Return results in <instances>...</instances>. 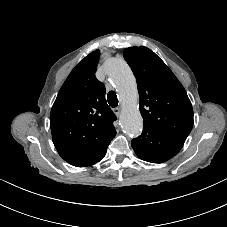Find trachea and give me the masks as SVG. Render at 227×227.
<instances>
[{"label": "trachea", "instance_id": "obj_1", "mask_svg": "<svg viewBox=\"0 0 227 227\" xmlns=\"http://www.w3.org/2000/svg\"><path fill=\"white\" fill-rule=\"evenodd\" d=\"M107 102L111 107H116L118 105V98L117 95L113 92L110 91L107 95Z\"/></svg>", "mask_w": 227, "mask_h": 227}]
</instances>
